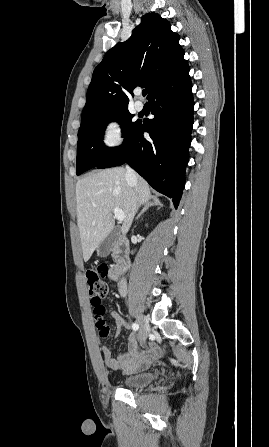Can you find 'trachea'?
Masks as SVG:
<instances>
[{
  "label": "trachea",
  "mask_w": 269,
  "mask_h": 447,
  "mask_svg": "<svg viewBox=\"0 0 269 447\" xmlns=\"http://www.w3.org/2000/svg\"><path fill=\"white\" fill-rule=\"evenodd\" d=\"M142 94L145 96V95H147V90H143L142 91Z\"/></svg>",
  "instance_id": "3493384b"
}]
</instances>
